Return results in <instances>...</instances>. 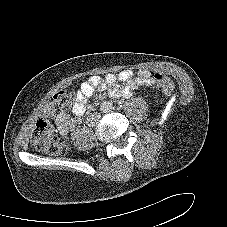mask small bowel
<instances>
[{"mask_svg":"<svg viewBox=\"0 0 227 227\" xmlns=\"http://www.w3.org/2000/svg\"><path fill=\"white\" fill-rule=\"evenodd\" d=\"M118 82L125 83L122 89L116 87ZM154 83V77L151 72L142 69L139 70L134 77L131 70H122L116 74H107L104 77L92 75L81 83L79 89L75 93V100L72 105L74 118L66 112L59 113L55 118V125L61 136H67L80 123L81 117L86 112V102L96 89L106 90L113 97H129L132 93L141 87L150 86Z\"/></svg>","mask_w":227,"mask_h":227,"instance_id":"1","label":"small bowel"}]
</instances>
